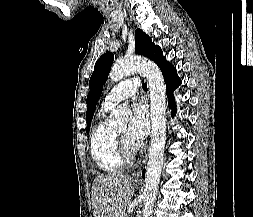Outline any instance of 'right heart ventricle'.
I'll return each instance as SVG.
<instances>
[{"label": "right heart ventricle", "mask_w": 253, "mask_h": 217, "mask_svg": "<svg viewBox=\"0 0 253 217\" xmlns=\"http://www.w3.org/2000/svg\"><path fill=\"white\" fill-rule=\"evenodd\" d=\"M110 111L102 107L100 120L93 127L90 136L91 155L98 168L107 173H117L124 168L126 160L118 153L115 143V132L106 120Z\"/></svg>", "instance_id": "right-heart-ventricle-1"}]
</instances>
